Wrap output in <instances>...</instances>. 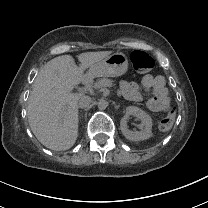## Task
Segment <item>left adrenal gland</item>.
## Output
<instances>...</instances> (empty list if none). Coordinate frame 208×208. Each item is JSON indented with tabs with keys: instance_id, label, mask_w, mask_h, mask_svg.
<instances>
[{
	"instance_id": "left-adrenal-gland-1",
	"label": "left adrenal gland",
	"mask_w": 208,
	"mask_h": 208,
	"mask_svg": "<svg viewBox=\"0 0 208 208\" xmlns=\"http://www.w3.org/2000/svg\"><path fill=\"white\" fill-rule=\"evenodd\" d=\"M120 107V104H115L114 103V108L117 110Z\"/></svg>"
}]
</instances>
